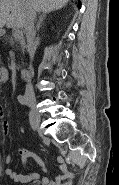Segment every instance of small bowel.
I'll use <instances>...</instances> for the list:
<instances>
[{
    "label": "small bowel",
    "instance_id": "c3829d8e",
    "mask_svg": "<svg viewBox=\"0 0 119 185\" xmlns=\"http://www.w3.org/2000/svg\"><path fill=\"white\" fill-rule=\"evenodd\" d=\"M9 71L5 67L0 68V82L1 83H6L9 80ZM10 133V123L7 120H4L2 122V134L4 136L8 135ZM18 153L21 157V162L23 168H26L27 160L29 158H32L42 169L43 172H46V166L44 161L34 152H32L28 148H20L18 150ZM4 162L6 164H10L12 162V156L10 154H6L4 156ZM57 162L59 164L60 168V173L58 176H56L53 179H50L47 176H43L41 178V182L43 185H72L73 183V173L67 169L65 160L62 157H59L57 159ZM5 174L11 178L12 180L16 182H22V183H27L31 181H37L40 179V175L36 172H30L27 171L25 174H21L20 172L7 167L5 169Z\"/></svg>",
    "mask_w": 119,
    "mask_h": 185
}]
</instances>
